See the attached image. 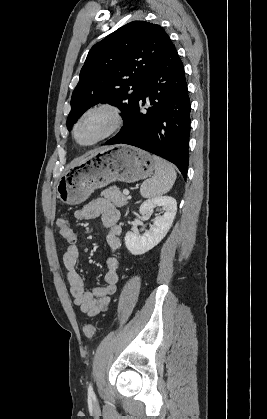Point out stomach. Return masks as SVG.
I'll use <instances>...</instances> for the list:
<instances>
[{
    "mask_svg": "<svg viewBox=\"0 0 267 419\" xmlns=\"http://www.w3.org/2000/svg\"><path fill=\"white\" fill-rule=\"evenodd\" d=\"M154 169L152 156L143 150L128 145L105 147L66 170L57 182V197L69 205L80 204L95 189L114 181L143 180Z\"/></svg>",
    "mask_w": 267,
    "mask_h": 419,
    "instance_id": "0dacf381",
    "label": "stomach"
}]
</instances>
